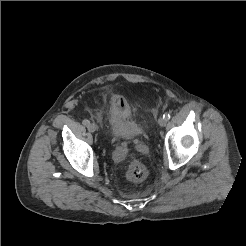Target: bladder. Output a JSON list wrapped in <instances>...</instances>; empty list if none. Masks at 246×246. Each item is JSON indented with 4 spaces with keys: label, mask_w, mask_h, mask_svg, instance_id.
<instances>
[{
    "label": "bladder",
    "mask_w": 246,
    "mask_h": 246,
    "mask_svg": "<svg viewBox=\"0 0 246 246\" xmlns=\"http://www.w3.org/2000/svg\"><path fill=\"white\" fill-rule=\"evenodd\" d=\"M108 132L112 139L131 140L143 134V126L132 115L129 107L113 98L107 110Z\"/></svg>",
    "instance_id": "31cf9c89"
}]
</instances>
